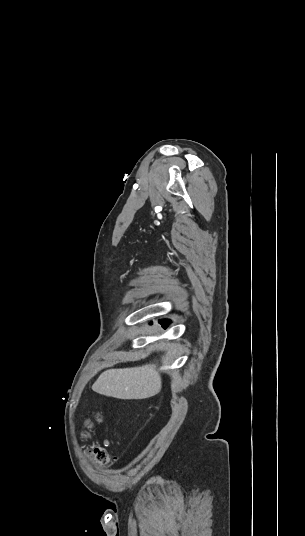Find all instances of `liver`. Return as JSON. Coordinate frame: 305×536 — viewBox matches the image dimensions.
<instances>
[{"instance_id": "1", "label": "liver", "mask_w": 305, "mask_h": 536, "mask_svg": "<svg viewBox=\"0 0 305 536\" xmlns=\"http://www.w3.org/2000/svg\"><path fill=\"white\" fill-rule=\"evenodd\" d=\"M161 388V376L157 372L156 364H147L141 368L107 370L92 386V390L97 394L119 400L152 398L159 394Z\"/></svg>"}]
</instances>
